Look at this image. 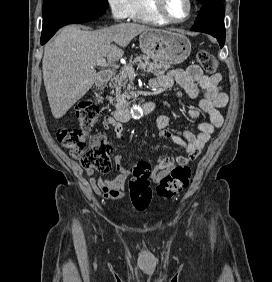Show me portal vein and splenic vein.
Here are the masks:
<instances>
[{
  "instance_id": "obj_1",
  "label": "portal vein and splenic vein",
  "mask_w": 272,
  "mask_h": 282,
  "mask_svg": "<svg viewBox=\"0 0 272 282\" xmlns=\"http://www.w3.org/2000/svg\"><path fill=\"white\" fill-rule=\"evenodd\" d=\"M97 65H99L100 67H109V66H114L111 63H106L105 59H100L97 61ZM124 69L127 70L128 74L133 75L135 74V71L132 67H125Z\"/></svg>"
}]
</instances>
